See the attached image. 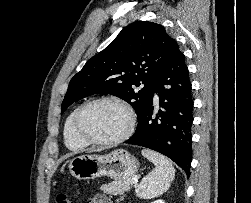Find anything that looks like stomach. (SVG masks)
<instances>
[{"label":"stomach","mask_w":251,"mask_h":203,"mask_svg":"<svg viewBox=\"0 0 251 203\" xmlns=\"http://www.w3.org/2000/svg\"><path fill=\"white\" fill-rule=\"evenodd\" d=\"M139 166L137 158L123 149L104 155H81L69 162L70 173L80 180L103 176L113 179L131 178L138 172Z\"/></svg>","instance_id":"stomach-1"}]
</instances>
